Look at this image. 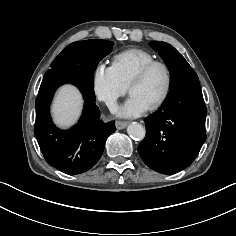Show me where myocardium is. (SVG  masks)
Masks as SVG:
<instances>
[{
    "mask_svg": "<svg viewBox=\"0 0 236 236\" xmlns=\"http://www.w3.org/2000/svg\"><path fill=\"white\" fill-rule=\"evenodd\" d=\"M157 66L163 68L165 71L166 86H165V90H164L163 94L161 95V97L154 104H152L149 107L150 110H156V109L160 108L167 101V99L171 93L172 85H173V75H172V71H171V68L169 67V65L166 62L160 61V60H154V61L147 63L136 73V75L132 78V80L128 86V90L130 92V90L133 86L142 82L147 77V75L150 73V71Z\"/></svg>",
    "mask_w": 236,
    "mask_h": 236,
    "instance_id": "f54148a6",
    "label": "myocardium"
}]
</instances>
